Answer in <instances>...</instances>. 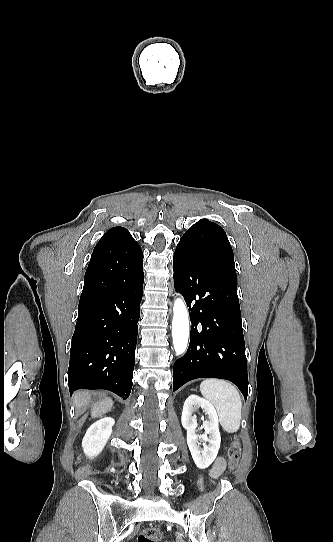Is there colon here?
<instances>
[{"mask_svg": "<svg viewBox=\"0 0 333 542\" xmlns=\"http://www.w3.org/2000/svg\"><path fill=\"white\" fill-rule=\"evenodd\" d=\"M241 444L235 440L227 448V461L230 468L238 465L241 457ZM137 542H162V533L157 527H149L137 537Z\"/></svg>", "mask_w": 333, "mask_h": 542, "instance_id": "colon-1", "label": "colon"}]
</instances>
